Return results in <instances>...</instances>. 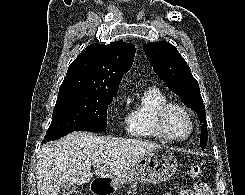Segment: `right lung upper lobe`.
Here are the masks:
<instances>
[{
	"instance_id": "obj_1",
	"label": "right lung upper lobe",
	"mask_w": 245,
	"mask_h": 195,
	"mask_svg": "<svg viewBox=\"0 0 245 195\" xmlns=\"http://www.w3.org/2000/svg\"><path fill=\"white\" fill-rule=\"evenodd\" d=\"M134 56V44L122 41L88 45L70 64L59 93L98 91L116 94L123 74L132 66Z\"/></svg>"
}]
</instances>
